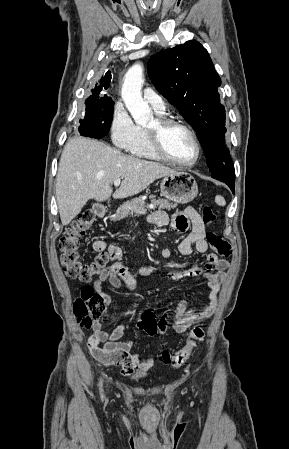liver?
Segmentation results:
<instances>
[{
	"label": "liver",
	"mask_w": 289,
	"mask_h": 449,
	"mask_svg": "<svg viewBox=\"0 0 289 449\" xmlns=\"http://www.w3.org/2000/svg\"><path fill=\"white\" fill-rule=\"evenodd\" d=\"M176 171L138 159L96 140L77 137L64 147L56 177V198L62 225H68L88 200L127 198L142 192L155 180ZM122 178L113 193L111 187Z\"/></svg>",
	"instance_id": "6515ba94"
}]
</instances>
